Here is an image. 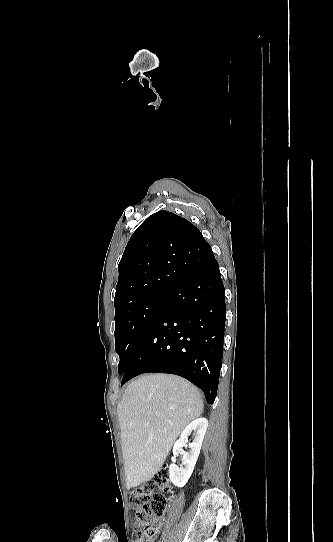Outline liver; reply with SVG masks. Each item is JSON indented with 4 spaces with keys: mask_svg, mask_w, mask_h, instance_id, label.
Returning <instances> with one entry per match:
<instances>
[{
    "mask_svg": "<svg viewBox=\"0 0 333 542\" xmlns=\"http://www.w3.org/2000/svg\"><path fill=\"white\" fill-rule=\"evenodd\" d=\"M202 412L197 388L180 376L145 374L129 384L117 408L127 490L157 474L176 438Z\"/></svg>",
    "mask_w": 333,
    "mask_h": 542,
    "instance_id": "obj_1",
    "label": "liver"
}]
</instances>
